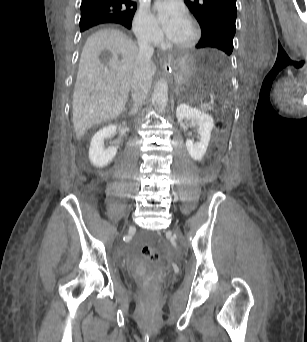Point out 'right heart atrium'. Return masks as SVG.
<instances>
[{"label":"right heart atrium","instance_id":"d8ad5b80","mask_svg":"<svg viewBox=\"0 0 307 342\" xmlns=\"http://www.w3.org/2000/svg\"><path fill=\"white\" fill-rule=\"evenodd\" d=\"M132 31L139 39H148L155 36V30L144 14H137L133 20Z\"/></svg>","mask_w":307,"mask_h":342}]
</instances>
